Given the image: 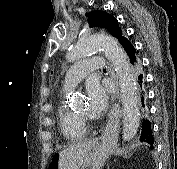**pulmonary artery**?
<instances>
[{"label":"pulmonary artery","mask_w":177,"mask_h":169,"mask_svg":"<svg viewBox=\"0 0 177 169\" xmlns=\"http://www.w3.org/2000/svg\"><path fill=\"white\" fill-rule=\"evenodd\" d=\"M106 66V61L103 57H85L76 62L65 74L64 89L70 90L77 86L83 78L93 72L102 71Z\"/></svg>","instance_id":"e3ab8cb5"}]
</instances>
